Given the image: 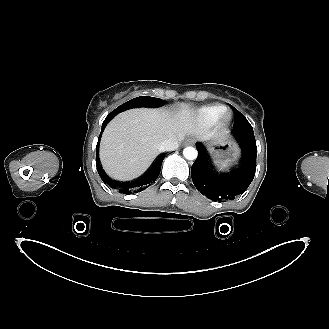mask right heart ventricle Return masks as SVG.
<instances>
[{"mask_svg": "<svg viewBox=\"0 0 329 329\" xmlns=\"http://www.w3.org/2000/svg\"><path fill=\"white\" fill-rule=\"evenodd\" d=\"M224 111L225 107L220 105L203 107L196 111V117L201 123L209 124L218 120Z\"/></svg>", "mask_w": 329, "mask_h": 329, "instance_id": "1", "label": "right heart ventricle"}]
</instances>
